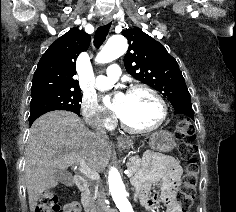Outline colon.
Returning <instances> with one entry per match:
<instances>
[{
  "label": "colon",
  "mask_w": 236,
  "mask_h": 212,
  "mask_svg": "<svg viewBox=\"0 0 236 212\" xmlns=\"http://www.w3.org/2000/svg\"><path fill=\"white\" fill-rule=\"evenodd\" d=\"M175 134L182 141L179 145L180 156L187 161L183 176L182 187L177 194V201L181 206V212H190L195 203L198 185L199 168L195 158L196 146L191 122L187 118L178 121ZM58 196L53 191H44L40 195L35 212H60Z\"/></svg>",
  "instance_id": "obj_1"
}]
</instances>
